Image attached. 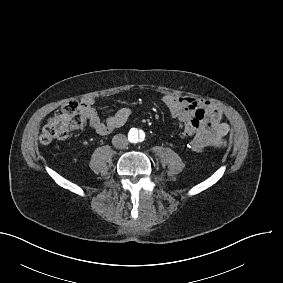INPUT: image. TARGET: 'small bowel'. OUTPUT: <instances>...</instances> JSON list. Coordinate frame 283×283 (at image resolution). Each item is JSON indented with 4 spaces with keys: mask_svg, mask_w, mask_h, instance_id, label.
Segmentation results:
<instances>
[{
    "mask_svg": "<svg viewBox=\"0 0 283 283\" xmlns=\"http://www.w3.org/2000/svg\"><path fill=\"white\" fill-rule=\"evenodd\" d=\"M162 102L174 118L180 104L189 102L194 105L196 109L195 118L204 126L205 135L200 140L192 139L189 142L188 146L191 151L200 152L208 147L226 146V136L230 131V125L224 120L222 110L216 105L205 98L190 95H174L171 93L163 95ZM95 103L96 99L94 97H85L80 102V109L90 126L99 135L109 134L115 129L122 127L131 116L130 109L121 108L102 120L95 108ZM178 125L180 126L179 123ZM184 135L188 136L185 133Z\"/></svg>",
    "mask_w": 283,
    "mask_h": 283,
    "instance_id": "small-bowel-1",
    "label": "small bowel"
}]
</instances>
